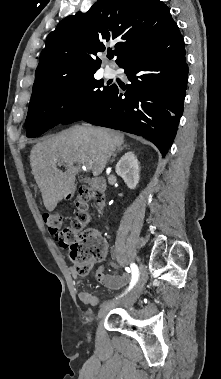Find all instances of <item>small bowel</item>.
Here are the masks:
<instances>
[{
    "instance_id": "obj_1",
    "label": "small bowel",
    "mask_w": 221,
    "mask_h": 379,
    "mask_svg": "<svg viewBox=\"0 0 221 379\" xmlns=\"http://www.w3.org/2000/svg\"><path fill=\"white\" fill-rule=\"evenodd\" d=\"M90 273L95 274L96 279L109 289H120L130 280V276L127 273L122 275L105 274L103 265L100 266L98 270L96 267H91ZM71 275L76 283L79 284L81 282L76 271L72 270ZM78 296L79 299L88 306H96L98 304L97 296L89 291H81Z\"/></svg>"
}]
</instances>
